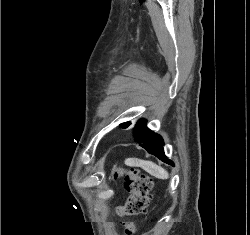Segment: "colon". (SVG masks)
<instances>
[{
    "mask_svg": "<svg viewBox=\"0 0 250 235\" xmlns=\"http://www.w3.org/2000/svg\"><path fill=\"white\" fill-rule=\"evenodd\" d=\"M120 177L124 179L125 189L129 196L125 205L118 208V212L127 216L143 213L149 203L152 180L136 168L116 167L112 172V178ZM123 225L126 235L135 234L136 225L133 222H125Z\"/></svg>",
    "mask_w": 250,
    "mask_h": 235,
    "instance_id": "5ec220e1",
    "label": "colon"
}]
</instances>
